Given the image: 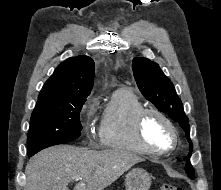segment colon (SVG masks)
<instances>
[{
  "mask_svg": "<svg viewBox=\"0 0 221 190\" xmlns=\"http://www.w3.org/2000/svg\"><path fill=\"white\" fill-rule=\"evenodd\" d=\"M159 190H182V188L172 184H162Z\"/></svg>",
  "mask_w": 221,
  "mask_h": 190,
  "instance_id": "5ec220e1",
  "label": "colon"
}]
</instances>
